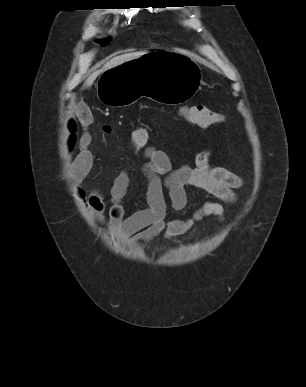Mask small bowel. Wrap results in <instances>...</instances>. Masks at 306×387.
Instances as JSON below:
<instances>
[{
  "label": "small bowel",
  "instance_id": "c3829d8e",
  "mask_svg": "<svg viewBox=\"0 0 306 387\" xmlns=\"http://www.w3.org/2000/svg\"><path fill=\"white\" fill-rule=\"evenodd\" d=\"M78 119L82 132L80 136L77 135L76 121L70 119L66 127V146L70 153L75 148L78 150L71 171L74 180L80 182L93 164V154L89 150L92 141L89 126L93 117L88 109H81ZM143 157L146 159L142 170L147 181V207L129 216L125 215L122 205L130 185L128 171L122 170L114 178L110 189L109 208L100 190L86 192L82 187H77V196L91 210L95 221L98 224L107 222L111 230L118 235L144 242L159 236L177 241V238L190 231L195 223L207 217H215L219 222H223L224 205H234L237 202L236 190L242 186L241 177L223 167L211 165L212 154L209 150L199 152L193 165L182 164L176 168L173 167L169 156L154 146H147ZM188 186L201 189L220 202L206 201L187 218L167 220L165 192L172 211L180 214L188 203Z\"/></svg>",
  "mask_w": 306,
  "mask_h": 387
}]
</instances>
